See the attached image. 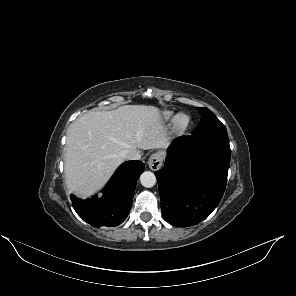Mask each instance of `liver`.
I'll list each match as a JSON object with an SVG mask.
<instances>
[{
    "label": "liver",
    "instance_id": "liver-1",
    "mask_svg": "<svg viewBox=\"0 0 296 296\" xmlns=\"http://www.w3.org/2000/svg\"><path fill=\"white\" fill-rule=\"evenodd\" d=\"M167 145L157 107L124 105L112 111H90L76 119L67 132V187L82 198L90 197L124 161V150L140 153Z\"/></svg>",
    "mask_w": 296,
    "mask_h": 296
}]
</instances>
